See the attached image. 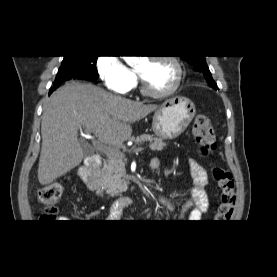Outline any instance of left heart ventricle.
<instances>
[{"mask_svg": "<svg viewBox=\"0 0 277 277\" xmlns=\"http://www.w3.org/2000/svg\"><path fill=\"white\" fill-rule=\"evenodd\" d=\"M146 86L155 92L168 89L175 77L174 68L166 61L146 60L137 68Z\"/></svg>", "mask_w": 277, "mask_h": 277, "instance_id": "b2bd125f", "label": "left heart ventricle"}]
</instances>
